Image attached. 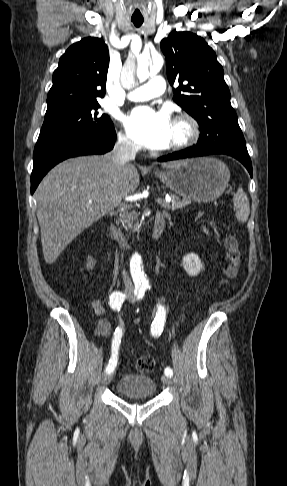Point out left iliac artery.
Instances as JSON below:
<instances>
[{
	"instance_id": "left-iliac-artery-1",
	"label": "left iliac artery",
	"mask_w": 287,
	"mask_h": 486,
	"mask_svg": "<svg viewBox=\"0 0 287 486\" xmlns=\"http://www.w3.org/2000/svg\"><path fill=\"white\" fill-rule=\"evenodd\" d=\"M138 298V296H137ZM166 319V311L165 308L162 305H158V310L156 312V317L152 323L151 326V333L153 336H158L161 334L164 323ZM165 375L167 376H172L173 375V370L170 367H166L164 370Z\"/></svg>"
}]
</instances>
